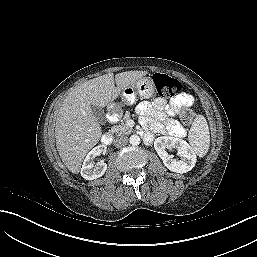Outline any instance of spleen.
Listing matches in <instances>:
<instances>
[{"instance_id": "obj_1", "label": "spleen", "mask_w": 257, "mask_h": 257, "mask_svg": "<svg viewBox=\"0 0 257 257\" xmlns=\"http://www.w3.org/2000/svg\"><path fill=\"white\" fill-rule=\"evenodd\" d=\"M188 141L191 149L199 157H204L210 145V133L206 119L198 115L194 119L188 134Z\"/></svg>"}]
</instances>
